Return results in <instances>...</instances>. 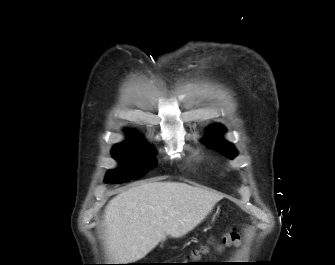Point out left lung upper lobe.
Masks as SVG:
<instances>
[{
  "mask_svg": "<svg viewBox=\"0 0 335 265\" xmlns=\"http://www.w3.org/2000/svg\"><path fill=\"white\" fill-rule=\"evenodd\" d=\"M210 136L207 139L202 140L201 142L208 148L215 149L220 151L224 155L228 156L230 159H233L237 155V150L229 142L217 138L221 133H224V127L217 124L209 128Z\"/></svg>",
  "mask_w": 335,
  "mask_h": 265,
  "instance_id": "left-lung-upper-lobe-1",
  "label": "left lung upper lobe"
}]
</instances>
